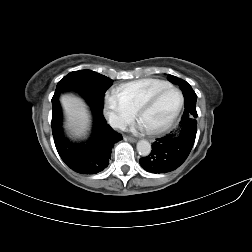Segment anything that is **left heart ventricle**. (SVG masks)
<instances>
[{
  "instance_id": "b2bd125f",
  "label": "left heart ventricle",
  "mask_w": 252,
  "mask_h": 252,
  "mask_svg": "<svg viewBox=\"0 0 252 252\" xmlns=\"http://www.w3.org/2000/svg\"><path fill=\"white\" fill-rule=\"evenodd\" d=\"M179 102L177 93L168 91L149 109L145 110L139 120L146 129L162 125L173 113Z\"/></svg>"
}]
</instances>
